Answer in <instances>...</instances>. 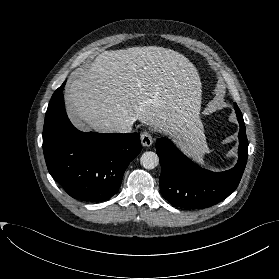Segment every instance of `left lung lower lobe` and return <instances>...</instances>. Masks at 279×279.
<instances>
[{
	"label": "left lung lower lobe",
	"mask_w": 279,
	"mask_h": 279,
	"mask_svg": "<svg viewBox=\"0 0 279 279\" xmlns=\"http://www.w3.org/2000/svg\"><path fill=\"white\" fill-rule=\"evenodd\" d=\"M240 125L239 159L236 166L225 172L205 170L188 159L165 137L156 142L160 159V190L163 197L175 207L203 209L211 207L237 188L248 157V141L242 115Z\"/></svg>",
	"instance_id": "0a47b994"
}]
</instances>
